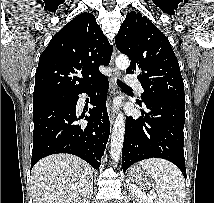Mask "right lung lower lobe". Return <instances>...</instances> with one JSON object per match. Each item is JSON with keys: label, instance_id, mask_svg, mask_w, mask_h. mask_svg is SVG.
Here are the masks:
<instances>
[{"label": "right lung lower lobe", "instance_id": "98d812e1", "mask_svg": "<svg viewBox=\"0 0 214 203\" xmlns=\"http://www.w3.org/2000/svg\"><path fill=\"white\" fill-rule=\"evenodd\" d=\"M109 83L102 75L91 84L62 93L33 106V150L31 168L41 158L69 153L87 161L98 169L110 133L105 98ZM91 94L90 116L76 115L79 94ZM88 110V109H87ZM87 120V124L78 121Z\"/></svg>", "mask_w": 214, "mask_h": 203}]
</instances>
